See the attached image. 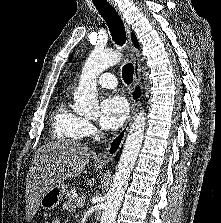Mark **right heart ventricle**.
<instances>
[{
    "label": "right heart ventricle",
    "mask_w": 221,
    "mask_h": 223,
    "mask_svg": "<svg viewBox=\"0 0 221 223\" xmlns=\"http://www.w3.org/2000/svg\"><path fill=\"white\" fill-rule=\"evenodd\" d=\"M85 123V120L63 101L51 114V136L57 141H81L86 135Z\"/></svg>",
    "instance_id": "right-heart-ventricle-1"
}]
</instances>
